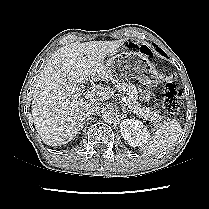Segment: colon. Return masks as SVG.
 <instances>
[{
  "label": "colon",
  "instance_id": "colon-1",
  "mask_svg": "<svg viewBox=\"0 0 209 209\" xmlns=\"http://www.w3.org/2000/svg\"><path fill=\"white\" fill-rule=\"evenodd\" d=\"M133 48H137L140 52L146 56L152 55V50L147 45L141 46H132ZM182 106V95L176 88L173 82H168L164 88L163 95V110L166 116L171 117L179 112Z\"/></svg>",
  "mask_w": 209,
  "mask_h": 209
}]
</instances>
